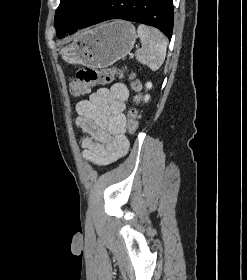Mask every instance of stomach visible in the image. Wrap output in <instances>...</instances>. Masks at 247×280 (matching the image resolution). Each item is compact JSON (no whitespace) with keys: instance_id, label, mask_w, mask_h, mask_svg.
I'll return each instance as SVG.
<instances>
[{"instance_id":"stomach-1","label":"stomach","mask_w":247,"mask_h":280,"mask_svg":"<svg viewBox=\"0 0 247 280\" xmlns=\"http://www.w3.org/2000/svg\"><path fill=\"white\" fill-rule=\"evenodd\" d=\"M136 38L135 27L130 22L117 20L82 31L61 54L70 64L104 68L125 58Z\"/></svg>"}]
</instances>
